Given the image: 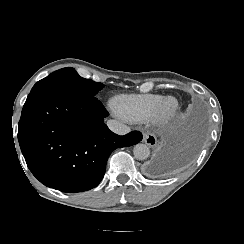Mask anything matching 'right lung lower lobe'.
Here are the masks:
<instances>
[{"label":"right lung lower lobe","mask_w":244,"mask_h":244,"mask_svg":"<svg viewBox=\"0 0 244 244\" xmlns=\"http://www.w3.org/2000/svg\"><path fill=\"white\" fill-rule=\"evenodd\" d=\"M107 116L95 96L59 90L30 92L18 124V141L33 175L63 192L97 186L112 151L142 140L137 131L114 134L103 123Z\"/></svg>","instance_id":"obj_1"}]
</instances>
